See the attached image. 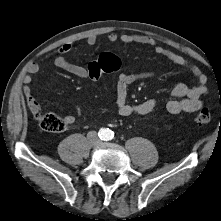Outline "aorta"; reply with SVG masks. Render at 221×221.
I'll use <instances>...</instances> for the list:
<instances>
[{
  "label": "aorta",
  "instance_id": "aorta-1",
  "mask_svg": "<svg viewBox=\"0 0 221 221\" xmlns=\"http://www.w3.org/2000/svg\"><path fill=\"white\" fill-rule=\"evenodd\" d=\"M101 135H102V138L104 139H109L111 137V130L109 129H103L101 131Z\"/></svg>",
  "mask_w": 221,
  "mask_h": 221
}]
</instances>
